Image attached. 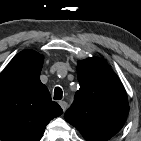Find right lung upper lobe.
I'll return each instance as SVG.
<instances>
[{
    "label": "right lung upper lobe",
    "instance_id": "obj_1",
    "mask_svg": "<svg viewBox=\"0 0 141 141\" xmlns=\"http://www.w3.org/2000/svg\"><path fill=\"white\" fill-rule=\"evenodd\" d=\"M44 57L18 53L0 74V140L39 141L46 125L63 111L40 81Z\"/></svg>",
    "mask_w": 141,
    "mask_h": 141
}]
</instances>
